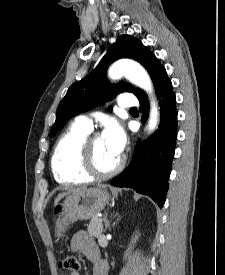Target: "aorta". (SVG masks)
Wrapping results in <instances>:
<instances>
[{
	"label": "aorta",
	"mask_w": 225,
	"mask_h": 275,
	"mask_svg": "<svg viewBox=\"0 0 225 275\" xmlns=\"http://www.w3.org/2000/svg\"><path fill=\"white\" fill-rule=\"evenodd\" d=\"M108 74L109 77L114 80L125 76L131 83L137 85L149 94L151 98V110L147 130L149 133L153 132L159 123L160 114L158 106L153 99L152 81L146 70L133 61H118L111 66Z\"/></svg>",
	"instance_id": "1"
}]
</instances>
